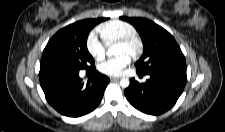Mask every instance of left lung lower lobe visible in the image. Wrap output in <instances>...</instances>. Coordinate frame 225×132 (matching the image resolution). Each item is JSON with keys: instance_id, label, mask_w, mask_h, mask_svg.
<instances>
[{"instance_id": "0a47b994", "label": "left lung lower lobe", "mask_w": 225, "mask_h": 132, "mask_svg": "<svg viewBox=\"0 0 225 132\" xmlns=\"http://www.w3.org/2000/svg\"><path fill=\"white\" fill-rule=\"evenodd\" d=\"M148 75L150 79L143 84L130 79L124 94L134 108L149 115H159L169 110L182 94L186 70H156Z\"/></svg>"}]
</instances>
